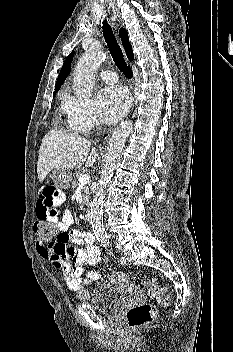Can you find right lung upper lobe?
I'll use <instances>...</instances> for the list:
<instances>
[{
  "label": "right lung upper lobe",
  "instance_id": "right-lung-upper-lobe-1",
  "mask_svg": "<svg viewBox=\"0 0 233 352\" xmlns=\"http://www.w3.org/2000/svg\"><path fill=\"white\" fill-rule=\"evenodd\" d=\"M120 36H121V40H122L123 46L126 51V55H127L128 59L130 61H132L134 58V55H133L132 48H131V45L128 40L127 32L124 28L120 29ZM73 56H74V51H72L70 53V55L64 61V64H63L61 71L59 73V76L57 78L55 91L60 89L61 85L66 80L67 76L69 75L70 70H71V62H72Z\"/></svg>",
  "mask_w": 233,
  "mask_h": 352
}]
</instances>
